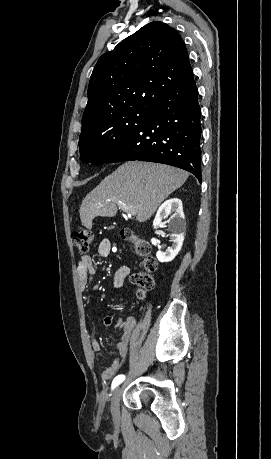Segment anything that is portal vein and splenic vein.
<instances>
[{"label":"portal vein and splenic vein","instance_id":"obj_1","mask_svg":"<svg viewBox=\"0 0 271 459\" xmlns=\"http://www.w3.org/2000/svg\"><path fill=\"white\" fill-rule=\"evenodd\" d=\"M124 212H127V214H130V216H135V210L134 208H123Z\"/></svg>","mask_w":271,"mask_h":459}]
</instances>
